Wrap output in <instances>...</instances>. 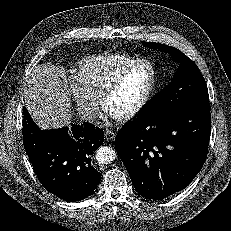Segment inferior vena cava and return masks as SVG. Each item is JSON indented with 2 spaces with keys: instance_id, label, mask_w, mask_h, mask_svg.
I'll use <instances>...</instances> for the list:
<instances>
[{
  "instance_id": "obj_1",
  "label": "inferior vena cava",
  "mask_w": 231,
  "mask_h": 231,
  "mask_svg": "<svg viewBox=\"0 0 231 231\" xmlns=\"http://www.w3.org/2000/svg\"><path fill=\"white\" fill-rule=\"evenodd\" d=\"M79 116L82 120L93 122L96 118L95 112L91 107H83L79 109Z\"/></svg>"
}]
</instances>
